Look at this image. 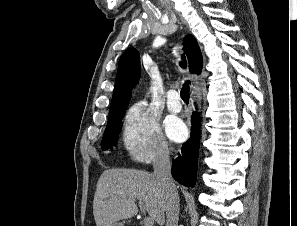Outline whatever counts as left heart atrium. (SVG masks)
<instances>
[{
	"label": "left heart atrium",
	"instance_id": "left-heart-atrium-1",
	"mask_svg": "<svg viewBox=\"0 0 297 226\" xmlns=\"http://www.w3.org/2000/svg\"><path fill=\"white\" fill-rule=\"evenodd\" d=\"M165 128L168 136L174 141H182L187 135L186 126L177 117H169L165 122Z\"/></svg>",
	"mask_w": 297,
	"mask_h": 226
}]
</instances>
